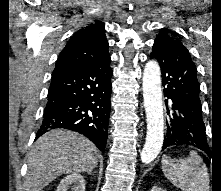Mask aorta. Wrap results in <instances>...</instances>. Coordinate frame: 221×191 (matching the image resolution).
I'll list each match as a JSON object with an SVG mask.
<instances>
[{"label":"aorta","mask_w":221,"mask_h":191,"mask_svg":"<svg viewBox=\"0 0 221 191\" xmlns=\"http://www.w3.org/2000/svg\"><path fill=\"white\" fill-rule=\"evenodd\" d=\"M142 86L147 134L141 152V160L143 163H150L158 156L164 140L161 71L155 60H149L146 63Z\"/></svg>","instance_id":"762f6f07"}]
</instances>
